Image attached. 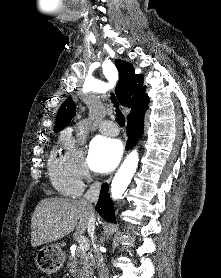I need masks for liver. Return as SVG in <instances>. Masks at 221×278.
Wrapping results in <instances>:
<instances>
[{
    "label": "liver",
    "instance_id": "6515ba94",
    "mask_svg": "<svg viewBox=\"0 0 221 278\" xmlns=\"http://www.w3.org/2000/svg\"><path fill=\"white\" fill-rule=\"evenodd\" d=\"M91 215L89 204L84 200L50 197L42 199L31 219V245L56 241L75 229V237L86 231Z\"/></svg>",
    "mask_w": 221,
    "mask_h": 278
}]
</instances>
